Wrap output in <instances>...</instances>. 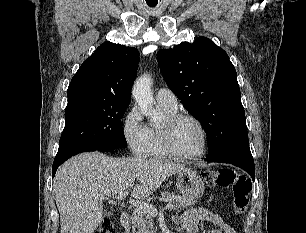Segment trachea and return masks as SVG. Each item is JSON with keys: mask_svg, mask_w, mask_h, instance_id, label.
<instances>
[{"mask_svg": "<svg viewBox=\"0 0 306 233\" xmlns=\"http://www.w3.org/2000/svg\"><path fill=\"white\" fill-rule=\"evenodd\" d=\"M150 7H155L156 4H148Z\"/></svg>", "mask_w": 306, "mask_h": 233, "instance_id": "trachea-1", "label": "trachea"}]
</instances>
